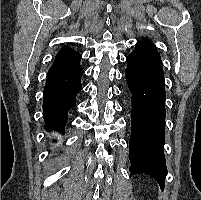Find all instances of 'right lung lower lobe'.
Listing matches in <instances>:
<instances>
[{"label":"right lung lower lobe","mask_w":201,"mask_h":200,"mask_svg":"<svg viewBox=\"0 0 201 200\" xmlns=\"http://www.w3.org/2000/svg\"><path fill=\"white\" fill-rule=\"evenodd\" d=\"M83 69H75L48 77L43 92V114L46 130L64 134L68 111L75 106L76 95L81 91Z\"/></svg>","instance_id":"obj_1"}]
</instances>
